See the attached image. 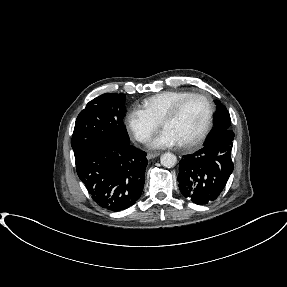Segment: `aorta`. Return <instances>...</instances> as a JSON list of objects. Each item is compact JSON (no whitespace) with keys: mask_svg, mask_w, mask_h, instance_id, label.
Segmentation results:
<instances>
[{"mask_svg":"<svg viewBox=\"0 0 287 287\" xmlns=\"http://www.w3.org/2000/svg\"><path fill=\"white\" fill-rule=\"evenodd\" d=\"M160 163L166 168H172L177 163V158L173 153L167 152L161 155Z\"/></svg>","mask_w":287,"mask_h":287,"instance_id":"obj_1","label":"aorta"}]
</instances>
